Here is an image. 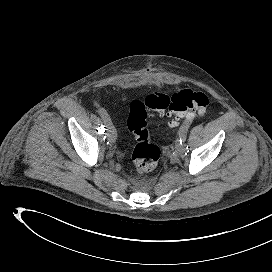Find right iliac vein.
I'll list each match as a JSON object with an SVG mask.
<instances>
[{
    "label": "right iliac vein",
    "instance_id": "63e3f726",
    "mask_svg": "<svg viewBox=\"0 0 272 272\" xmlns=\"http://www.w3.org/2000/svg\"><path fill=\"white\" fill-rule=\"evenodd\" d=\"M104 124L106 125V135H107V138L111 141V142H114L116 140V137H117V133H116V129L115 127L113 126L112 124V121L110 118L106 119L104 121Z\"/></svg>",
    "mask_w": 272,
    "mask_h": 272
}]
</instances>
